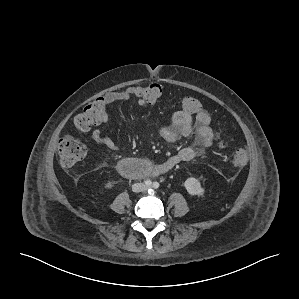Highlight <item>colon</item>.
<instances>
[{
	"label": "colon",
	"mask_w": 299,
	"mask_h": 299,
	"mask_svg": "<svg viewBox=\"0 0 299 299\" xmlns=\"http://www.w3.org/2000/svg\"><path fill=\"white\" fill-rule=\"evenodd\" d=\"M138 97L146 103L155 102L161 95V87L157 84H148L136 87ZM183 111L193 114L201 109L197 99L192 96H184L181 100ZM105 106L100 99H97L88 105L74 117L73 123L77 130L87 131L93 125L100 122L104 114ZM219 149L226 147L225 143L219 144ZM58 154L60 162L65 167H73L79 163L87 154V147L84 142L72 136H64L58 142ZM248 157L244 149H238L234 153L232 165L236 168H242L247 164Z\"/></svg>",
	"instance_id": "1"
}]
</instances>
